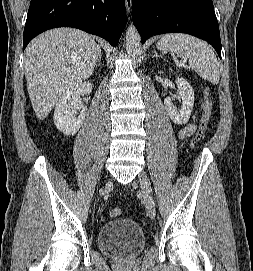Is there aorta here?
<instances>
[{"label":"aorta","mask_w":253,"mask_h":271,"mask_svg":"<svg viewBox=\"0 0 253 271\" xmlns=\"http://www.w3.org/2000/svg\"><path fill=\"white\" fill-rule=\"evenodd\" d=\"M141 50V37L136 27L131 24L126 31V51L132 58H137Z\"/></svg>","instance_id":"762f6f07"}]
</instances>
